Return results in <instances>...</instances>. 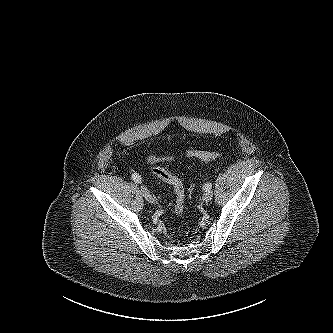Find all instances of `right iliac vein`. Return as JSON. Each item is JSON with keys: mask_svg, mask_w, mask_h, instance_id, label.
Instances as JSON below:
<instances>
[{"mask_svg": "<svg viewBox=\"0 0 333 333\" xmlns=\"http://www.w3.org/2000/svg\"><path fill=\"white\" fill-rule=\"evenodd\" d=\"M141 191L142 194L144 196V198L150 202V203H154L155 202V197L151 194V192L148 190V188L146 186H141Z\"/></svg>", "mask_w": 333, "mask_h": 333, "instance_id": "right-iliac-vein-1", "label": "right iliac vein"}]
</instances>
